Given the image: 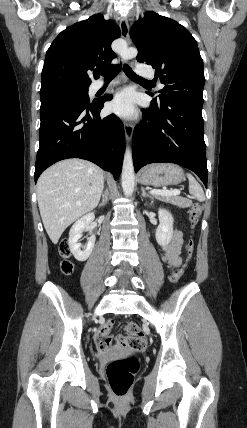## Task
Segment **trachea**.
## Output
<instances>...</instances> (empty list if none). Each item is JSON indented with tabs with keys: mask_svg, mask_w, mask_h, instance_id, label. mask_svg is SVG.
<instances>
[{
	"mask_svg": "<svg viewBox=\"0 0 247 428\" xmlns=\"http://www.w3.org/2000/svg\"><path fill=\"white\" fill-rule=\"evenodd\" d=\"M120 70H121V67L116 66V67H113L111 69L99 70L98 72L104 76L105 80H111L118 75ZM123 71L125 72V74L130 79L137 80V81H143V82H151V81H148V80L136 75L129 66H124Z\"/></svg>",
	"mask_w": 247,
	"mask_h": 428,
	"instance_id": "3493384b",
	"label": "trachea"
}]
</instances>
